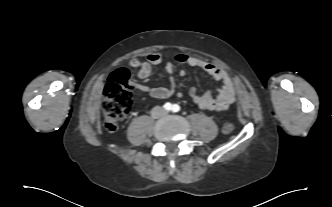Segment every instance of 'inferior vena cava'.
<instances>
[{"label": "inferior vena cava", "mask_w": 332, "mask_h": 207, "mask_svg": "<svg viewBox=\"0 0 332 207\" xmlns=\"http://www.w3.org/2000/svg\"><path fill=\"white\" fill-rule=\"evenodd\" d=\"M165 113H166L165 110L160 106H155L151 110V115H152L153 118H158V117L164 115Z\"/></svg>", "instance_id": "obj_1"}]
</instances>
